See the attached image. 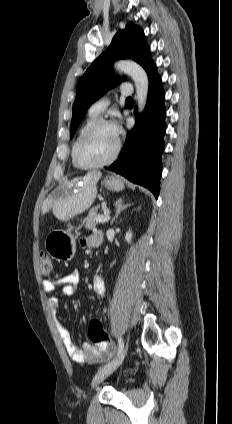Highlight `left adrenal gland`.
Returning a JSON list of instances; mask_svg holds the SVG:
<instances>
[{
  "label": "left adrenal gland",
  "instance_id": "a2214340",
  "mask_svg": "<svg viewBox=\"0 0 232 424\" xmlns=\"http://www.w3.org/2000/svg\"><path fill=\"white\" fill-rule=\"evenodd\" d=\"M133 205V203L131 204V203H129V204H123V199L122 198H120V199H118L117 201H116V203H115V207H116V214H115V216L113 217V219H112V221H111V225L114 223V221L118 218V216H119V214L122 212V211H124V210H126L128 207H130V206H132Z\"/></svg>",
  "mask_w": 232,
  "mask_h": 424
}]
</instances>
